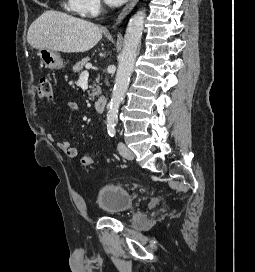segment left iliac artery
Segmentation results:
<instances>
[{"label":"left iliac artery","instance_id":"obj_1","mask_svg":"<svg viewBox=\"0 0 255 272\" xmlns=\"http://www.w3.org/2000/svg\"><path fill=\"white\" fill-rule=\"evenodd\" d=\"M108 134L111 136V137H114L115 134H116V129L114 127H109L108 128Z\"/></svg>","mask_w":255,"mask_h":272}]
</instances>
